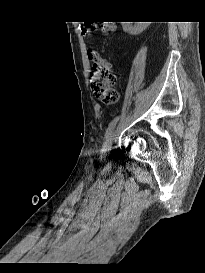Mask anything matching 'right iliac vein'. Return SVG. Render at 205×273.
<instances>
[{
	"label": "right iliac vein",
	"mask_w": 205,
	"mask_h": 273,
	"mask_svg": "<svg viewBox=\"0 0 205 273\" xmlns=\"http://www.w3.org/2000/svg\"><path fill=\"white\" fill-rule=\"evenodd\" d=\"M115 131H112L109 136L107 137V139L104 142V146L103 149L105 151H109L112 145V141H113V136H114Z\"/></svg>",
	"instance_id": "obj_1"
}]
</instances>
